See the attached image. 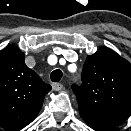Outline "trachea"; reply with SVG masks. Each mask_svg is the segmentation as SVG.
Returning a JSON list of instances; mask_svg holds the SVG:
<instances>
[{
  "mask_svg": "<svg viewBox=\"0 0 131 131\" xmlns=\"http://www.w3.org/2000/svg\"><path fill=\"white\" fill-rule=\"evenodd\" d=\"M62 75H63V73L61 70H59V69L54 70L50 75L51 81H53V82L60 81V79L62 78Z\"/></svg>",
  "mask_w": 131,
  "mask_h": 131,
  "instance_id": "trachea-1",
  "label": "trachea"
}]
</instances>
